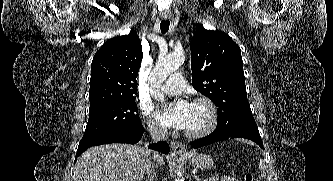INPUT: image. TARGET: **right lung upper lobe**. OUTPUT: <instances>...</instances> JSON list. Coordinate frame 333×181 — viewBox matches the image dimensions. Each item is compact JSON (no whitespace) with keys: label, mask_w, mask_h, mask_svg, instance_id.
<instances>
[{"label":"right lung upper lobe","mask_w":333,"mask_h":181,"mask_svg":"<svg viewBox=\"0 0 333 181\" xmlns=\"http://www.w3.org/2000/svg\"><path fill=\"white\" fill-rule=\"evenodd\" d=\"M143 54L136 32L106 41L92 61L90 108L135 98Z\"/></svg>","instance_id":"obj_1"}]
</instances>
